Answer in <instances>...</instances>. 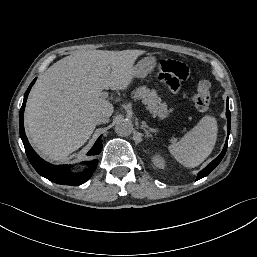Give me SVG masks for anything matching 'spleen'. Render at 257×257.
<instances>
[{
  "label": "spleen",
  "mask_w": 257,
  "mask_h": 257,
  "mask_svg": "<svg viewBox=\"0 0 257 257\" xmlns=\"http://www.w3.org/2000/svg\"><path fill=\"white\" fill-rule=\"evenodd\" d=\"M217 133L216 118L204 116L179 142L170 145L169 151L185 167H197L214 149Z\"/></svg>",
  "instance_id": "3e777b00"
}]
</instances>
